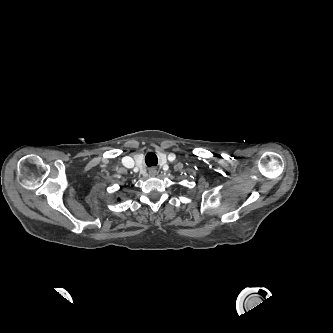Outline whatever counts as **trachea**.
I'll return each instance as SVG.
<instances>
[{
  "instance_id": "3493384b",
  "label": "trachea",
  "mask_w": 333,
  "mask_h": 333,
  "mask_svg": "<svg viewBox=\"0 0 333 333\" xmlns=\"http://www.w3.org/2000/svg\"><path fill=\"white\" fill-rule=\"evenodd\" d=\"M145 163L148 167L157 166L158 158H157L156 154L149 152L145 156Z\"/></svg>"
}]
</instances>
